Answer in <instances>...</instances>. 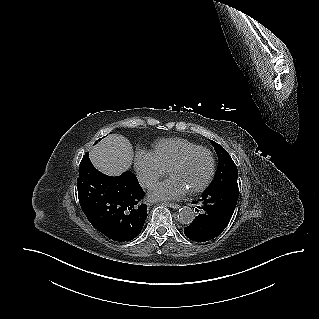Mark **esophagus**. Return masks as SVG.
<instances>
[{
    "label": "esophagus",
    "mask_w": 319,
    "mask_h": 319,
    "mask_svg": "<svg viewBox=\"0 0 319 319\" xmlns=\"http://www.w3.org/2000/svg\"><path fill=\"white\" fill-rule=\"evenodd\" d=\"M166 205L170 208H173V209H179L180 208V205L179 204H176V203H166Z\"/></svg>",
    "instance_id": "1"
}]
</instances>
